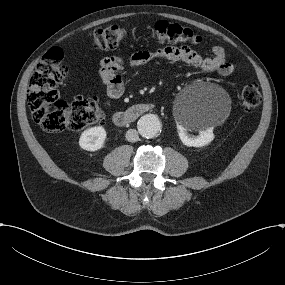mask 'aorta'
I'll return each mask as SVG.
<instances>
[{"mask_svg":"<svg viewBox=\"0 0 285 285\" xmlns=\"http://www.w3.org/2000/svg\"><path fill=\"white\" fill-rule=\"evenodd\" d=\"M138 131L142 137L150 139L157 136L161 131V124L157 116L146 114L138 121Z\"/></svg>","mask_w":285,"mask_h":285,"instance_id":"1","label":"aorta"}]
</instances>
